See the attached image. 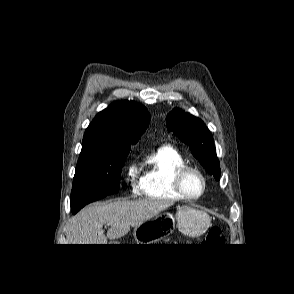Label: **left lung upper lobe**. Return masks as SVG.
<instances>
[{
	"label": "left lung upper lobe",
	"instance_id": "obj_1",
	"mask_svg": "<svg viewBox=\"0 0 294 294\" xmlns=\"http://www.w3.org/2000/svg\"><path fill=\"white\" fill-rule=\"evenodd\" d=\"M166 125L182 142L189 145L195 158L216 180L220 179V163L216 157L213 136L203 121L180 109L166 117Z\"/></svg>",
	"mask_w": 294,
	"mask_h": 294
}]
</instances>
